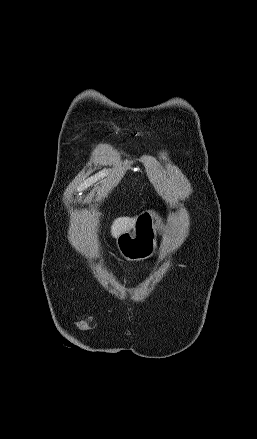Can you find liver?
Here are the masks:
<instances>
[{
	"mask_svg": "<svg viewBox=\"0 0 257 439\" xmlns=\"http://www.w3.org/2000/svg\"><path fill=\"white\" fill-rule=\"evenodd\" d=\"M136 221V217H120L114 220L111 226V235L114 238H118L122 233L133 228Z\"/></svg>",
	"mask_w": 257,
	"mask_h": 439,
	"instance_id": "liver-1",
	"label": "liver"
}]
</instances>
